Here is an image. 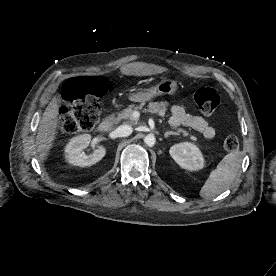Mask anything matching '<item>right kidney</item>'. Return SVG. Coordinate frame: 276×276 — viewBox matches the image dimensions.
<instances>
[{"label": "right kidney", "instance_id": "right-kidney-1", "mask_svg": "<svg viewBox=\"0 0 276 276\" xmlns=\"http://www.w3.org/2000/svg\"><path fill=\"white\" fill-rule=\"evenodd\" d=\"M90 141L91 136L89 134L73 137L65 147L66 161L80 167L91 166L100 161L106 154V149L103 146H98V148L89 155L82 152L83 149L88 147Z\"/></svg>", "mask_w": 276, "mask_h": 276}]
</instances>
